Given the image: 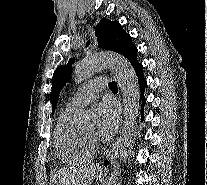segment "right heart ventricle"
<instances>
[{"instance_id":"1","label":"right heart ventricle","mask_w":207,"mask_h":185,"mask_svg":"<svg viewBox=\"0 0 207 185\" xmlns=\"http://www.w3.org/2000/svg\"><path fill=\"white\" fill-rule=\"evenodd\" d=\"M72 112L64 111L58 120L54 142L62 160L68 164H83L94 160L97 146L72 121Z\"/></svg>"}]
</instances>
